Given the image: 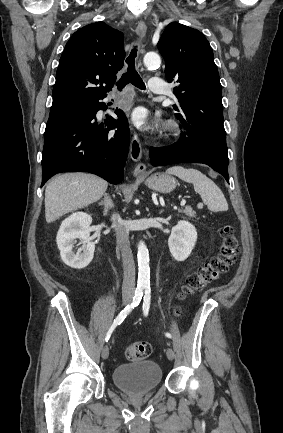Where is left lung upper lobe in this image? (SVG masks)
<instances>
[{"label": "left lung upper lobe", "instance_id": "5c2ea615", "mask_svg": "<svg viewBox=\"0 0 283 433\" xmlns=\"http://www.w3.org/2000/svg\"><path fill=\"white\" fill-rule=\"evenodd\" d=\"M157 47L165 59V75L177 86L173 93L175 117L183 125L211 124L222 128L221 84L212 48L205 36L191 27L172 22Z\"/></svg>", "mask_w": 283, "mask_h": 433}]
</instances>
